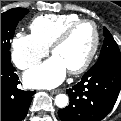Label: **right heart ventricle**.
Masks as SVG:
<instances>
[{"instance_id": "1", "label": "right heart ventricle", "mask_w": 121, "mask_h": 121, "mask_svg": "<svg viewBox=\"0 0 121 121\" xmlns=\"http://www.w3.org/2000/svg\"><path fill=\"white\" fill-rule=\"evenodd\" d=\"M81 19L76 14H46L34 18L30 24L32 35L44 46L50 47L60 33Z\"/></svg>"}]
</instances>
